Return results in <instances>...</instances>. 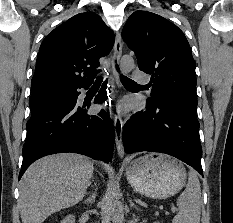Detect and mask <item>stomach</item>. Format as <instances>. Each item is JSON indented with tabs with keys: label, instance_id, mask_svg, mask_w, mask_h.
<instances>
[{
	"label": "stomach",
	"instance_id": "0dacf381",
	"mask_svg": "<svg viewBox=\"0 0 233 223\" xmlns=\"http://www.w3.org/2000/svg\"><path fill=\"white\" fill-rule=\"evenodd\" d=\"M131 187L152 199H165L178 193L185 185L187 173L183 163L165 153H145L126 167Z\"/></svg>",
	"mask_w": 233,
	"mask_h": 223
}]
</instances>
